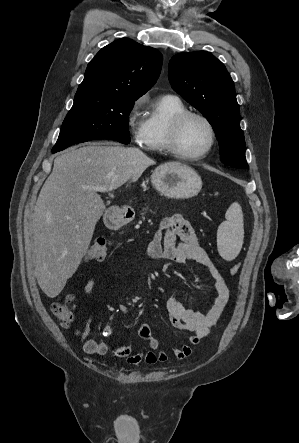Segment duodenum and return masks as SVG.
I'll use <instances>...</instances> for the list:
<instances>
[{"label":"duodenum","instance_id":"obj_1","mask_svg":"<svg viewBox=\"0 0 299 443\" xmlns=\"http://www.w3.org/2000/svg\"><path fill=\"white\" fill-rule=\"evenodd\" d=\"M114 220L110 222L111 225L119 224L130 219V215L127 209L120 208L114 214Z\"/></svg>","mask_w":299,"mask_h":443}]
</instances>
